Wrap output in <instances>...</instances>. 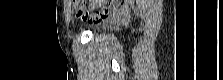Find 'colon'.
Masks as SVG:
<instances>
[{"mask_svg": "<svg viewBox=\"0 0 223 80\" xmlns=\"http://www.w3.org/2000/svg\"><path fill=\"white\" fill-rule=\"evenodd\" d=\"M73 6L77 12V15L84 21H87L91 24H98L104 21L110 12L111 9L120 8L125 1L124 0H111L109 1L108 7L97 11L95 13H89L85 10V5L83 0H73Z\"/></svg>", "mask_w": 223, "mask_h": 80, "instance_id": "5ec220e1", "label": "colon"}]
</instances>
